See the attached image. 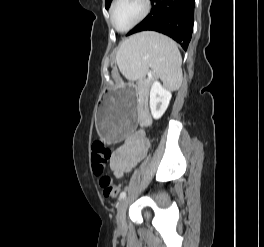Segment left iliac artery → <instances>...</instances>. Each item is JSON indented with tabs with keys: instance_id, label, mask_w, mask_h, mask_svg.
I'll return each mask as SVG.
<instances>
[{
	"instance_id": "1",
	"label": "left iliac artery",
	"mask_w": 264,
	"mask_h": 247,
	"mask_svg": "<svg viewBox=\"0 0 264 247\" xmlns=\"http://www.w3.org/2000/svg\"><path fill=\"white\" fill-rule=\"evenodd\" d=\"M126 196V192L125 191H123V192H121L120 193V196H119V198L120 199H122V198H124Z\"/></svg>"
}]
</instances>
